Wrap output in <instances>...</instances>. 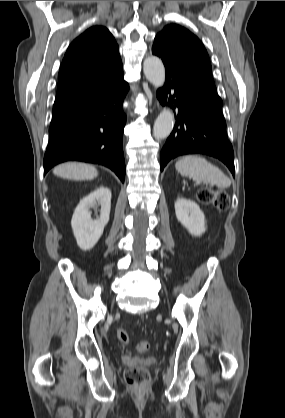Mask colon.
I'll return each instance as SVG.
<instances>
[{
  "instance_id": "5ec220e1",
  "label": "colon",
  "mask_w": 285,
  "mask_h": 418,
  "mask_svg": "<svg viewBox=\"0 0 285 418\" xmlns=\"http://www.w3.org/2000/svg\"><path fill=\"white\" fill-rule=\"evenodd\" d=\"M198 200L203 205L213 206L220 211H225L230 202V198L224 190L212 188L201 190L198 193ZM117 337L124 344L128 343L130 340L128 331L124 327L117 330ZM136 349L140 353L147 352L149 350V343L141 341L137 343ZM149 379V372L143 367L131 368L125 372V380L127 384L132 387H145L148 384Z\"/></svg>"
}]
</instances>
